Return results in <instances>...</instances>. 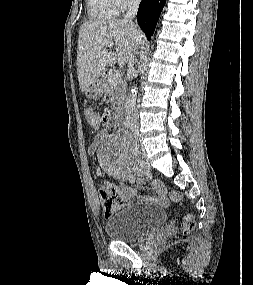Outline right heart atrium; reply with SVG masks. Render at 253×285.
Here are the masks:
<instances>
[{"mask_svg": "<svg viewBox=\"0 0 253 285\" xmlns=\"http://www.w3.org/2000/svg\"><path fill=\"white\" fill-rule=\"evenodd\" d=\"M118 7L120 8V10H126L136 4H138V2L140 0H115Z\"/></svg>", "mask_w": 253, "mask_h": 285, "instance_id": "1", "label": "right heart atrium"}]
</instances>
